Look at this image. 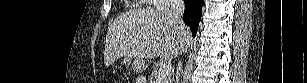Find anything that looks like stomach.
<instances>
[{
    "label": "stomach",
    "mask_w": 307,
    "mask_h": 83,
    "mask_svg": "<svg viewBox=\"0 0 307 83\" xmlns=\"http://www.w3.org/2000/svg\"><path fill=\"white\" fill-rule=\"evenodd\" d=\"M124 64L125 65H130L131 64V59L130 58L125 59L124 60ZM132 67H133L134 70L139 71V70L144 69V64L140 63V62H137L135 60V61L132 62Z\"/></svg>",
    "instance_id": "0dacf381"
}]
</instances>
